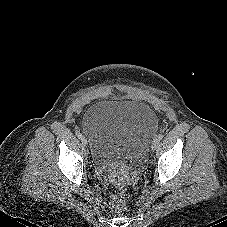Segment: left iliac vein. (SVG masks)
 I'll use <instances>...</instances> for the list:
<instances>
[{
    "mask_svg": "<svg viewBox=\"0 0 227 227\" xmlns=\"http://www.w3.org/2000/svg\"><path fill=\"white\" fill-rule=\"evenodd\" d=\"M158 146H159V140H158V138H155L152 142L151 148H152V150H155L158 148Z\"/></svg>",
    "mask_w": 227,
    "mask_h": 227,
    "instance_id": "4c4485c4",
    "label": "left iliac vein"
}]
</instances>
